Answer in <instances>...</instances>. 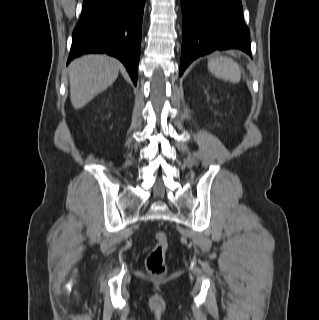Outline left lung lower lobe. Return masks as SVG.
I'll return each mask as SVG.
<instances>
[{
    "mask_svg": "<svg viewBox=\"0 0 319 320\" xmlns=\"http://www.w3.org/2000/svg\"><path fill=\"white\" fill-rule=\"evenodd\" d=\"M181 8L180 75L194 59L215 50L238 49L251 56L241 0H181Z\"/></svg>",
    "mask_w": 319,
    "mask_h": 320,
    "instance_id": "1",
    "label": "left lung lower lobe"
}]
</instances>
